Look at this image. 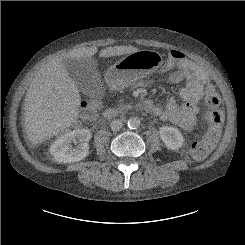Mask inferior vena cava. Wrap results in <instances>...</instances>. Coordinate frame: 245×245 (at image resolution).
I'll list each match as a JSON object with an SVG mask.
<instances>
[{
    "label": "inferior vena cava",
    "instance_id": "1",
    "mask_svg": "<svg viewBox=\"0 0 245 245\" xmlns=\"http://www.w3.org/2000/svg\"><path fill=\"white\" fill-rule=\"evenodd\" d=\"M123 126V123L121 120L115 119L111 122V129L113 131H119Z\"/></svg>",
    "mask_w": 245,
    "mask_h": 245
}]
</instances>
